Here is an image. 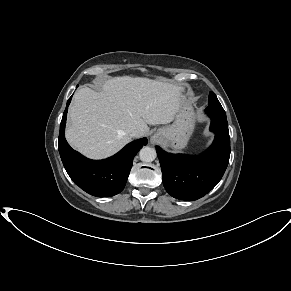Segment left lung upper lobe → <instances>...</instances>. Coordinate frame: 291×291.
<instances>
[{
	"label": "left lung upper lobe",
	"instance_id": "1",
	"mask_svg": "<svg viewBox=\"0 0 291 291\" xmlns=\"http://www.w3.org/2000/svg\"><path fill=\"white\" fill-rule=\"evenodd\" d=\"M208 106H210V107H222L220 102L218 101L215 93H213V92H210V94H209Z\"/></svg>",
	"mask_w": 291,
	"mask_h": 291
}]
</instances>
